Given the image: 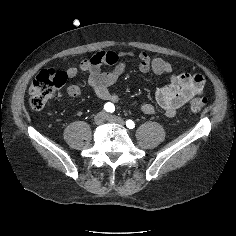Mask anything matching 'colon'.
<instances>
[{"instance_id":"1","label":"colon","mask_w":236,"mask_h":236,"mask_svg":"<svg viewBox=\"0 0 236 236\" xmlns=\"http://www.w3.org/2000/svg\"><path fill=\"white\" fill-rule=\"evenodd\" d=\"M68 80L65 72L54 69L41 71L32 81L29 88V103L32 109L41 110ZM206 98L197 97L190 101V109L199 112L206 105Z\"/></svg>"}]
</instances>
